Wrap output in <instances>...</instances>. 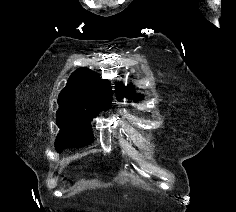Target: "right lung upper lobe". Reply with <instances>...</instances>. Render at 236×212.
<instances>
[{"mask_svg":"<svg viewBox=\"0 0 236 212\" xmlns=\"http://www.w3.org/2000/svg\"><path fill=\"white\" fill-rule=\"evenodd\" d=\"M110 89V83L100 79L97 73L87 68H79L60 92L58 104L61 108L97 109L103 102L111 101Z\"/></svg>","mask_w":236,"mask_h":212,"instance_id":"right-lung-upper-lobe-1","label":"right lung upper lobe"}]
</instances>
